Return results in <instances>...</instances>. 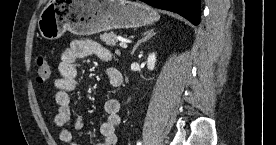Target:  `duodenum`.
Returning <instances> with one entry per match:
<instances>
[{"label": "duodenum", "mask_w": 276, "mask_h": 145, "mask_svg": "<svg viewBox=\"0 0 276 145\" xmlns=\"http://www.w3.org/2000/svg\"><path fill=\"white\" fill-rule=\"evenodd\" d=\"M122 82V75L120 72L117 73V76L112 80L114 85H119Z\"/></svg>", "instance_id": "410a0bca"}]
</instances>
